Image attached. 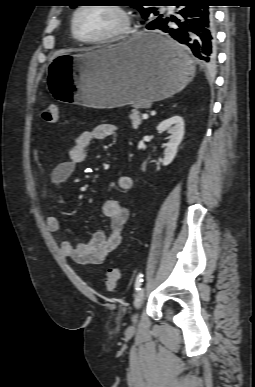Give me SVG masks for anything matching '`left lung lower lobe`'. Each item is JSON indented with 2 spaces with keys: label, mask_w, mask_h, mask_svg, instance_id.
<instances>
[{
  "label": "left lung lower lobe",
  "mask_w": 255,
  "mask_h": 387,
  "mask_svg": "<svg viewBox=\"0 0 255 387\" xmlns=\"http://www.w3.org/2000/svg\"><path fill=\"white\" fill-rule=\"evenodd\" d=\"M179 10L178 17H159L147 24V44L167 59L182 63L184 56L179 52V43L192 51L204 66L215 61L216 37L211 0H174L169 3ZM173 22L177 27L170 26ZM166 33V35L163 34Z\"/></svg>",
  "instance_id": "0a47b994"
}]
</instances>
